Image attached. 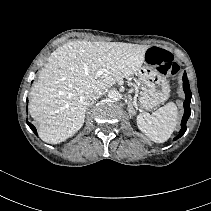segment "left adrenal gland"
I'll return each mask as SVG.
<instances>
[{"instance_id": "1", "label": "left adrenal gland", "mask_w": 211, "mask_h": 211, "mask_svg": "<svg viewBox=\"0 0 211 211\" xmlns=\"http://www.w3.org/2000/svg\"><path fill=\"white\" fill-rule=\"evenodd\" d=\"M128 112L129 114H131L132 110H134V107H133V102H132V98L130 95H128Z\"/></svg>"}]
</instances>
